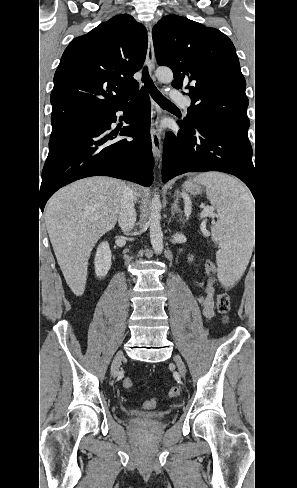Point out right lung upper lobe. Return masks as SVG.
I'll return each mask as SVG.
<instances>
[{"instance_id":"cb5924a9","label":"right lung upper lobe","mask_w":297,"mask_h":488,"mask_svg":"<svg viewBox=\"0 0 297 488\" xmlns=\"http://www.w3.org/2000/svg\"><path fill=\"white\" fill-rule=\"evenodd\" d=\"M147 31L127 14L101 23L65 49L51 92L52 132H64L116 109L138 89Z\"/></svg>"}]
</instances>
